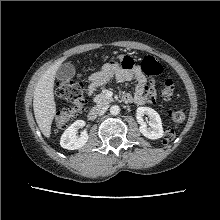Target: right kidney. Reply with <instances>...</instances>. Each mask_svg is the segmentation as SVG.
Instances as JSON below:
<instances>
[{
    "label": "right kidney",
    "instance_id": "ca27d5eb",
    "mask_svg": "<svg viewBox=\"0 0 220 220\" xmlns=\"http://www.w3.org/2000/svg\"><path fill=\"white\" fill-rule=\"evenodd\" d=\"M84 126L85 121L83 120H77L71 124L61 136V147L68 150H75L84 146L89 138L88 133L83 131L81 132L80 137L77 136V131Z\"/></svg>",
    "mask_w": 220,
    "mask_h": 220
}]
</instances>
